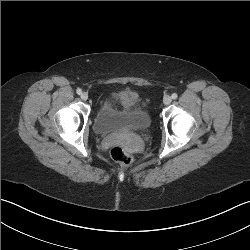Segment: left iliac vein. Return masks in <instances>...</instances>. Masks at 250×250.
Returning <instances> with one entry per match:
<instances>
[{"instance_id": "left-iliac-vein-1", "label": "left iliac vein", "mask_w": 250, "mask_h": 250, "mask_svg": "<svg viewBox=\"0 0 250 250\" xmlns=\"http://www.w3.org/2000/svg\"><path fill=\"white\" fill-rule=\"evenodd\" d=\"M172 102V98L170 96H165L164 99H163V103L165 105H169L170 103Z\"/></svg>"}]
</instances>
